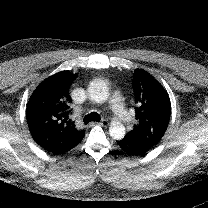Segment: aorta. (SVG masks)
<instances>
[{"label": "aorta", "instance_id": "762f6f07", "mask_svg": "<svg viewBox=\"0 0 208 208\" xmlns=\"http://www.w3.org/2000/svg\"><path fill=\"white\" fill-rule=\"evenodd\" d=\"M88 92L90 98L97 103L105 102L109 96L108 85L102 79L93 80L89 85ZM109 133L113 139L121 140L125 136V127L118 122H113L110 126Z\"/></svg>", "mask_w": 208, "mask_h": 208}]
</instances>
